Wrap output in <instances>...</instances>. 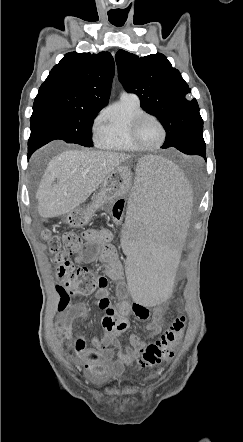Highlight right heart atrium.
<instances>
[{
	"label": "right heart atrium",
	"mask_w": 243,
	"mask_h": 442,
	"mask_svg": "<svg viewBox=\"0 0 243 442\" xmlns=\"http://www.w3.org/2000/svg\"><path fill=\"white\" fill-rule=\"evenodd\" d=\"M100 123H101V118H100V117H97V118L95 119L94 123H93V130H94V132H95L96 129L99 127Z\"/></svg>",
	"instance_id": "right-heart-atrium-1"
}]
</instances>
